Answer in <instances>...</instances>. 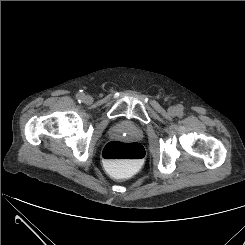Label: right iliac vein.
Listing matches in <instances>:
<instances>
[{"instance_id": "63e3f726", "label": "right iliac vein", "mask_w": 245, "mask_h": 245, "mask_svg": "<svg viewBox=\"0 0 245 245\" xmlns=\"http://www.w3.org/2000/svg\"><path fill=\"white\" fill-rule=\"evenodd\" d=\"M83 101L86 104H91L93 99H92V97L90 95H86V96H84Z\"/></svg>"}]
</instances>
